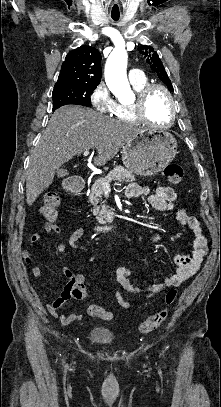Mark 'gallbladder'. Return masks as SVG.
I'll use <instances>...</instances> for the list:
<instances>
[{"label":"gallbladder","instance_id":"bac80fb5","mask_svg":"<svg viewBox=\"0 0 221 407\" xmlns=\"http://www.w3.org/2000/svg\"><path fill=\"white\" fill-rule=\"evenodd\" d=\"M66 175H68V171L66 169L57 170V176L63 177V176H66Z\"/></svg>","mask_w":221,"mask_h":407}]
</instances>
